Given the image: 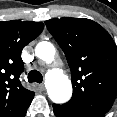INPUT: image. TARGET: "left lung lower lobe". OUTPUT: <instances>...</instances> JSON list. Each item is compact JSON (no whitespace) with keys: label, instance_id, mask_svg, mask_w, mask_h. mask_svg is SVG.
Returning a JSON list of instances; mask_svg holds the SVG:
<instances>
[{"label":"left lung lower lobe","instance_id":"1","mask_svg":"<svg viewBox=\"0 0 117 117\" xmlns=\"http://www.w3.org/2000/svg\"><path fill=\"white\" fill-rule=\"evenodd\" d=\"M53 110L56 117H102L96 114L86 113L65 105L53 104Z\"/></svg>","mask_w":117,"mask_h":117}]
</instances>
